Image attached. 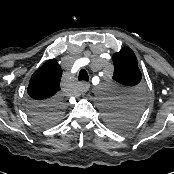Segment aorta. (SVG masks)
<instances>
[{
    "label": "aorta",
    "mask_w": 174,
    "mask_h": 174,
    "mask_svg": "<svg viewBox=\"0 0 174 174\" xmlns=\"http://www.w3.org/2000/svg\"><path fill=\"white\" fill-rule=\"evenodd\" d=\"M98 90L104 101H108L113 97V89L110 86L101 85Z\"/></svg>",
    "instance_id": "762f6f07"
}]
</instances>
